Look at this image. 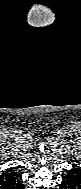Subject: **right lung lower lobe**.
Wrapping results in <instances>:
<instances>
[{"label": "right lung lower lobe", "instance_id": "obj_1", "mask_svg": "<svg viewBox=\"0 0 81 189\" xmlns=\"http://www.w3.org/2000/svg\"><path fill=\"white\" fill-rule=\"evenodd\" d=\"M0 189H24L22 176L10 168L0 175Z\"/></svg>", "mask_w": 81, "mask_h": 189}]
</instances>
